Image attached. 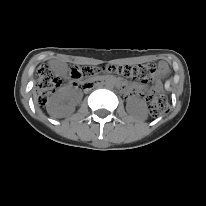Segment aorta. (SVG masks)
Listing matches in <instances>:
<instances>
[{"label":"aorta","mask_w":206,"mask_h":206,"mask_svg":"<svg viewBox=\"0 0 206 206\" xmlns=\"http://www.w3.org/2000/svg\"><path fill=\"white\" fill-rule=\"evenodd\" d=\"M106 87H107L108 89L114 88V82H113L110 78H108V79L106 80Z\"/></svg>","instance_id":"obj_1"}]
</instances>
